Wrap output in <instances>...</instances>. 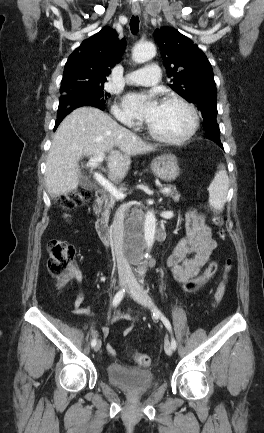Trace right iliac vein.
<instances>
[{
  "instance_id": "63e3f726",
  "label": "right iliac vein",
  "mask_w": 264,
  "mask_h": 433,
  "mask_svg": "<svg viewBox=\"0 0 264 433\" xmlns=\"http://www.w3.org/2000/svg\"><path fill=\"white\" fill-rule=\"evenodd\" d=\"M128 282H129V280H128L127 278L121 277V278L119 279V285H120V287L125 286ZM100 348H101V341L98 340V341L96 342V345L94 346V350H95V352H98V351L100 350Z\"/></svg>"
}]
</instances>
